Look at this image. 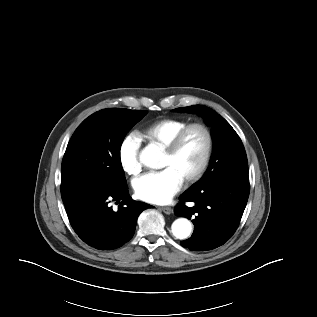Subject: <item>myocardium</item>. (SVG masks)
<instances>
[{"label":"myocardium","mask_w":317,"mask_h":317,"mask_svg":"<svg viewBox=\"0 0 317 317\" xmlns=\"http://www.w3.org/2000/svg\"><path fill=\"white\" fill-rule=\"evenodd\" d=\"M194 128H199L204 132L206 136V148L202 161L197 170L192 175L184 179V182L188 184H192L199 181L203 177L209 166L214 145L213 135L210 128L202 122L189 123L173 137V139L165 148V153L167 155L174 156L179 151L187 133Z\"/></svg>","instance_id":"f54148a6"}]
</instances>
